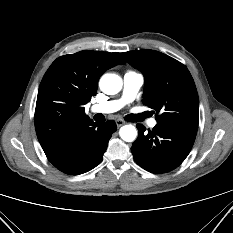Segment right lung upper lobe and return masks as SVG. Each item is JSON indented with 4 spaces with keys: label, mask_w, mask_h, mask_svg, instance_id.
<instances>
[{
    "label": "right lung upper lobe",
    "mask_w": 233,
    "mask_h": 233,
    "mask_svg": "<svg viewBox=\"0 0 233 233\" xmlns=\"http://www.w3.org/2000/svg\"><path fill=\"white\" fill-rule=\"evenodd\" d=\"M124 63L120 53L84 50L51 64L41 81L35 109L36 134L44 152L76 144L94 125L84 105L96 95L100 76Z\"/></svg>",
    "instance_id": "cb5924a9"
}]
</instances>
